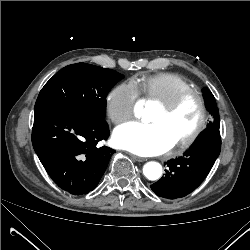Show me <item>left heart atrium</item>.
I'll use <instances>...</instances> for the list:
<instances>
[{"label":"left heart atrium","mask_w":250,"mask_h":250,"mask_svg":"<svg viewBox=\"0 0 250 250\" xmlns=\"http://www.w3.org/2000/svg\"><path fill=\"white\" fill-rule=\"evenodd\" d=\"M115 146L141 156L159 155L171 149L174 143L157 124L128 122L113 134Z\"/></svg>","instance_id":"left-heart-atrium-1"}]
</instances>
